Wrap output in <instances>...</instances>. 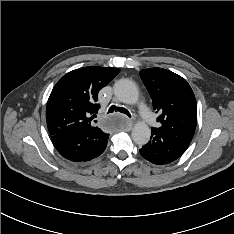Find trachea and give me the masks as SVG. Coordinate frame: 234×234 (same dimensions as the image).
I'll use <instances>...</instances> for the list:
<instances>
[{"instance_id":"1","label":"trachea","mask_w":234,"mask_h":234,"mask_svg":"<svg viewBox=\"0 0 234 234\" xmlns=\"http://www.w3.org/2000/svg\"><path fill=\"white\" fill-rule=\"evenodd\" d=\"M117 112L119 111L120 113H123V114H126L127 116L131 117L129 111L123 107H117L115 105H112L109 110H108V113H113V112Z\"/></svg>"}]
</instances>
